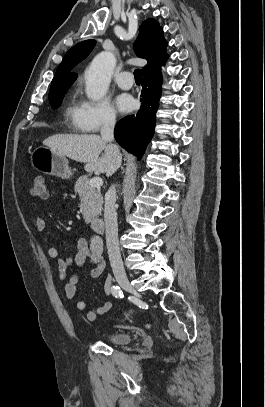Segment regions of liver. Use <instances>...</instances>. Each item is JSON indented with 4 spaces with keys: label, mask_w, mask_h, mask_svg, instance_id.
Returning a JSON list of instances; mask_svg holds the SVG:
<instances>
[{
    "label": "liver",
    "mask_w": 265,
    "mask_h": 407,
    "mask_svg": "<svg viewBox=\"0 0 265 407\" xmlns=\"http://www.w3.org/2000/svg\"><path fill=\"white\" fill-rule=\"evenodd\" d=\"M43 145L60 155L85 163L86 171L112 175L120 166L122 157L116 146L108 144L96 134H58L46 138ZM104 151L102 156L100 154Z\"/></svg>",
    "instance_id": "obj_1"
}]
</instances>
